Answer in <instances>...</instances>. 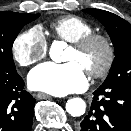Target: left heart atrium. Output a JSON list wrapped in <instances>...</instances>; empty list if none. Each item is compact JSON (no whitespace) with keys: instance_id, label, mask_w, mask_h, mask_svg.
<instances>
[{"instance_id":"1","label":"left heart atrium","mask_w":131,"mask_h":131,"mask_svg":"<svg viewBox=\"0 0 131 131\" xmlns=\"http://www.w3.org/2000/svg\"><path fill=\"white\" fill-rule=\"evenodd\" d=\"M28 84L33 90L62 96L84 90L88 80L85 70L75 61L64 64L47 62L29 73Z\"/></svg>"}]
</instances>
